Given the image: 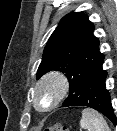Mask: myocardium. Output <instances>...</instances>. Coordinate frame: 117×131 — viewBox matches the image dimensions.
<instances>
[{
	"label": "myocardium",
	"instance_id": "f54148a6",
	"mask_svg": "<svg viewBox=\"0 0 117 131\" xmlns=\"http://www.w3.org/2000/svg\"><path fill=\"white\" fill-rule=\"evenodd\" d=\"M46 89H52L53 97L51 102L42 107L39 104V95ZM69 92V82L60 72H49L42 76L34 85L32 90V103L39 112H48L56 108Z\"/></svg>",
	"mask_w": 117,
	"mask_h": 131
}]
</instances>
